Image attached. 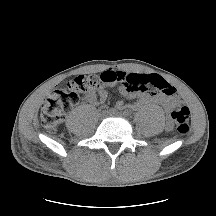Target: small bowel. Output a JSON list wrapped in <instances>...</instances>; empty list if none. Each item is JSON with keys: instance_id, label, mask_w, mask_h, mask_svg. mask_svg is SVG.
Segmentation results:
<instances>
[{"instance_id": "small-bowel-1", "label": "small bowel", "mask_w": 216, "mask_h": 216, "mask_svg": "<svg viewBox=\"0 0 216 216\" xmlns=\"http://www.w3.org/2000/svg\"><path fill=\"white\" fill-rule=\"evenodd\" d=\"M100 79L107 85L116 83L122 95L129 99H137V103L132 106L133 108L147 103H156L168 109L173 103L171 98L156 89L159 82L168 83L156 74L107 71L101 74ZM107 98L108 91L102 88L98 92V96L92 95L88 101L92 104H103ZM116 106L123 108L124 103L118 101Z\"/></svg>"}]
</instances>
